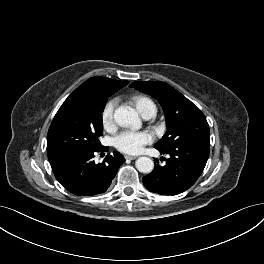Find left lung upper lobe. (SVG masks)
I'll return each mask as SVG.
<instances>
[{"mask_svg":"<svg viewBox=\"0 0 264 264\" xmlns=\"http://www.w3.org/2000/svg\"><path fill=\"white\" fill-rule=\"evenodd\" d=\"M154 97L161 104L167 132L155 145L163 151L181 143L210 145L209 125L204 114L185 96L165 82L136 81L130 85Z\"/></svg>","mask_w":264,"mask_h":264,"instance_id":"obj_1","label":"left lung upper lobe"}]
</instances>
